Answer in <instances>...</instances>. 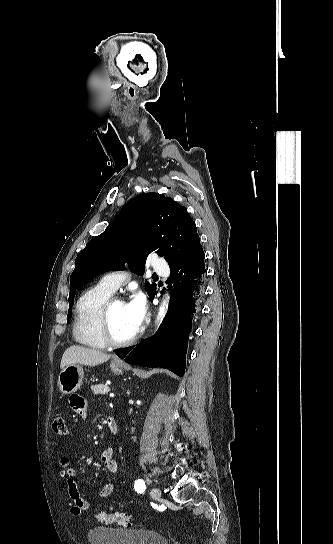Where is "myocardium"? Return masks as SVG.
Here are the masks:
<instances>
[{
    "instance_id": "f54148a6",
    "label": "myocardium",
    "mask_w": 333,
    "mask_h": 544,
    "mask_svg": "<svg viewBox=\"0 0 333 544\" xmlns=\"http://www.w3.org/2000/svg\"><path fill=\"white\" fill-rule=\"evenodd\" d=\"M117 302H123L119 297H111L104 304L100 315V330L102 337L107 345L122 347L132 344L139 336V331H136L131 337L126 339H117L112 332L110 324L111 309Z\"/></svg>"
}]
</instances>
